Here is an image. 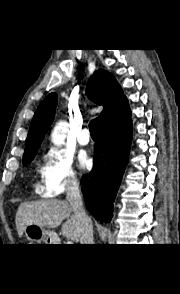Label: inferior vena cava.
<instances>
[{
	"label": "inferior vena cava",
	"instance_id": "602c4592",
	"mask_svg": "<svg viewBox=\"0 0 180 294\" xmlns=\"http://www.w3.org/2000/svg\"><path fill=\"white\" fill-rule=\"evenodd\" d=\"M66 199L70 203L77 220L80 233V244H93V225L91 218L86 214L83 208V201L77 180H71L67 189Z\"/></svg>",
	"mask_w": 180,
	"mask_h": 294
}]
</instances>
